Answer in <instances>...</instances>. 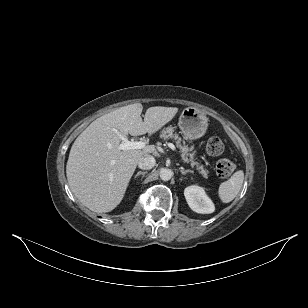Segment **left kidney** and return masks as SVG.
Segmentation results:
<instances>
[{
    "mask_svg": "<svg viewBox=\"0 0 308 308\" xmlns=\"http://www.w3.org/2000/svg\"><path fill=\"white\" fill-rule=\"evenodd\" d=\"M184 196L189 207L197 213L209 214L215 210L211 199L206 195L204 189L199 186H189L184 190Z\"/></svg>",
    "mask_w": 308,
    "mask_h": 308,
    "instance_id": "1",
    "label": "left kidney"
}]
</instances>
